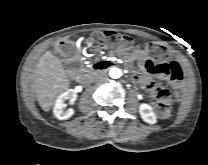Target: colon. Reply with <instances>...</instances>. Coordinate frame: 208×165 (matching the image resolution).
<instances>
[{
	"label": "colon",
	"instance_id": "5ec220e1",
	"mask_svg": "<svg viewBox=\"0 0 208 165\" xmlns=\"http://www.w3.org/2000/svg\"><path fill=\"white\" fill-rule=\"evenodd\" d=\"M92 41L96 47H108L121 51L130 48L134 43L131 37L113 31L96 34L94 35ZM147 50L150 56L149 59H153L154 61L167 60L169 56L168 49L157 43H150L147 46ZM54 51L62 57H68L73 53L72 43L68 40H62L56 44ZM170 106V93L165 88H158L154 101V107L157 114L159 116L167 115L169 113Z\"/></svg>",
	"mask_w": 208,
	"mask_h": 165
}]
</instances>
